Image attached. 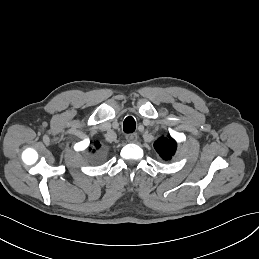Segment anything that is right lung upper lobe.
Instances as JSON below:
<instances>
[{
  "label": "right lung upper lobe",
  "mask_w": 259,
  "mask_h": 259,
  "mask_svg": "<svg viewBox=\"0 0 259 259\" xmlns=\"http://www.w3.org/2000/svg\"><path fill=\"white\" fill-rule=\"evenodd\" d=\"M100 147V145H99V142L98 141H95V142H93V149L90 147L89 148V150L91 151H95V149L94 148H96V149H98Z\"/></svg>",
  "instance_id": "right-lung-upper-lobe-1"
}]
</instances>
